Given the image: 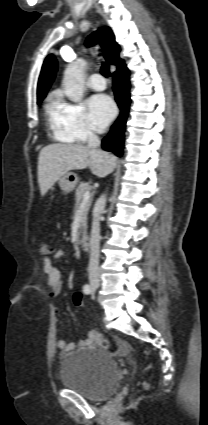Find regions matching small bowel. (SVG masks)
I'll list each match as a JSON object with an SVG mask.
<instances>
[{"mask_svg":"<svg viewBox=\"0 0 208 425\" xmlns=\"http://www.w3.org/2000/svg\"><path fill=\"white\" fill-rule=\"evenodd\" d=\"M64 252L62 250H57L54 253V257L56 259L63 257ZM43 269L44 272L47 276V280H48V287H49V297L51 298H55L57 297L62 290V286H63V278H62V273L59 270V268H57L55 265H53L51 259L49 257H44L43 258ZM54 314L56 318H59L60 316V311L58 308H55L54 310ZM94 342L93 340V333L92 331L88 334L86 339L80 340L78 342L79 346H89L92 345ZM119 347L121 350H125L127 348V345L118 340L117 341ZM57 347L64 351V352H69L72 351L73 349H75L76 344L73 342H67L63 339H59L57 341Z\"/></svg>","mask_w":208,"mask_h":425,"instance_id":"small-bowel-1","label":"small bowel"}]
</instances>
